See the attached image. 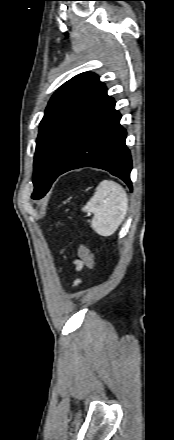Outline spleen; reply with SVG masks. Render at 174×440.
<instances>
[{
	"instance_id": "3e777b00",
	"label": "spleen",
	"mask_w": 174,
	"mask_h": 440,
	"mask_svg": "<svg viewBox=\"0 0 174 440\" xmlns=\"http://www.w3.org/2000/svg\"><path fill=\"white\" fill-rule=\"evenodd\" d=\"M93 214L92 229L101 236H110L118 229L128 211L124 188L113 180H103L83 208Z\"/></svg>"
}]
</instances>
